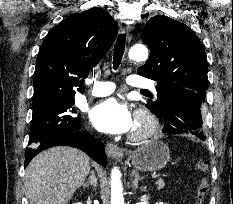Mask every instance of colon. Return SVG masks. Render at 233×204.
<instances>
[{"mask_svg": "<svg viewBox=\"0 0 233 204\" xmlns=\"http://www.w3.org/2000/svg\"><path fill=\"white\" fill-rule=\"evenodd\" d=\"M195 171L201 176L196 189V204H204L205 198L210 190L207 178L209 165L205 159H199L195 164Z\"/></svg>", "mask_w": 233, "mask_h": 204, "instance_id": "1", "label": "colon"}]
</instances>
